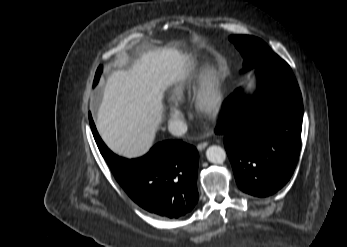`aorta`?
Here are the masks:
<instances>
[{"mask_svg":"<svg viewBox=\"0 0 347 247\" xmlns=\"http://www.w3.org/2000/svg\"><path fill=\"white\" fill-rule=\"evenodd\" d=\"M206 157L211 163L222 164L226 159V152L222 147L212 145L207 148Z\"/></svg>","mask_w":347,"mask_h":247,"instance_id":"1","label":"aorta"}]
</instances>
